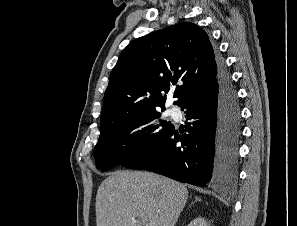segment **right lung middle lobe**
<instances>
[{
  "instance_id": "dd1d6c3e",
  "label": "right lung middle lobe",
  "mask_w": 297,
  "mask_h": 226,
  "mask_svg": "<svg viewBox=\"0 0 297 226\" xmlns=\"http://www.w3.org/2000/svg\"><path fill=\"white\" fill-rule=\"evenodd\" d=\"M173 128L162 118L161 110L145 112L101 128L94 149L97 169L104 172L117 165L126 166L151 151Z\"/></svg>"
}]
</instances>
